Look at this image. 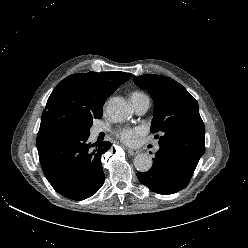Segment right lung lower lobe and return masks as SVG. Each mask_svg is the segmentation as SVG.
<instances>
[{"instance_id":"right-lung-lower-lobe-1","label":"right lung lower lobe","mask_w":248,"mask_h":248,"mask_svg":"<svg viewBox=\"0 0 248 248\" xmlns=\"http://www.w3.org/2000/svg\"><path fill=\"white\" fill-rule=\"evenodd\" d=\"M89 135L90 132L71 129L38 148L45 177L56 192L69 199L89 198L104 183L101 155L111 144H91Z\"/></svg>"}]
</instances>
